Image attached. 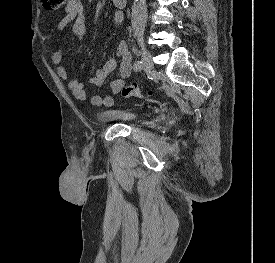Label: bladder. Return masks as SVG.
Here are the masks:
<instances>
[{"instance_id": "bladder-1", "label": "bladder", "mask_w": 275, "mask_h": 263, "mask_svg": "<svg viewBox=\"0 0 275 263\" xmlns=\"http://www.w3.org/2000/svg\"><path fill=\"white\" fill-rule=\"evenodd\" d=\"M140 117V113L128 108H106L97 113L100 122H133Z\"/></svg>"}]
</instances>
